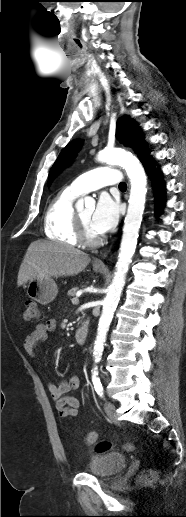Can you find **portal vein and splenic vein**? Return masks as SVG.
Masks as SVG:
<instances>
[{"label":"portal vein and splenic vein","mask_w":186,"mask_h":517,"mask_svg":"<svg viewBox=\"0 0 186 517\" xmlns=\"http://www.w3.org/2000/svg\"><path fill=\"white\" fill-rule=\"evenodd\" d=\"M71 301H72V304H75V305H77L79 303L78 298H73Z\"/></svg>","instance_id":"18ae733b"}]
</instances>
